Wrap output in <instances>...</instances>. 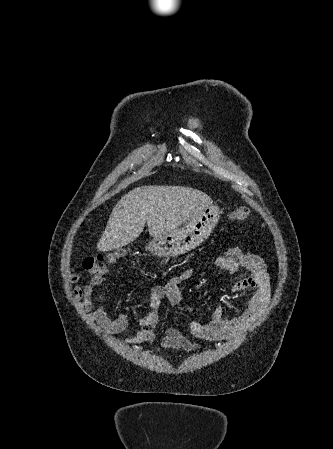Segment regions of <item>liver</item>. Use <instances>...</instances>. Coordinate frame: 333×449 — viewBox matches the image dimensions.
Here are the masks:
<instances>
[{
  "instance_id": "6515ba94",
  "label": "liver",
  "mask_w": 333,
  "mask_h": 449,
  "mask_svg": "<svg viewBox=\"0 0 333 449\" xmlns=\"http://www.w3.org/2000/svg\"><path fill=\"white\" fill-rule=\"evenodd\" d=\"M212 204L196 189L182 186H143L125 194L113 208L97 249L109 252L128 245L148 225L156 238L177 229Z\"/></svg>"
}]
</instances>
